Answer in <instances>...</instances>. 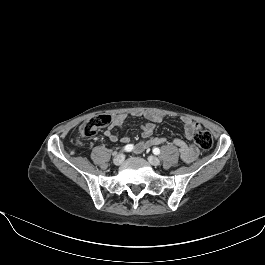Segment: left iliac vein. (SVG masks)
Masks as SVG:
<instances>
[{
  "instance_id": "obj_1",
  "label": "left iliac vein",
  "mask_w": 265,
  "mask_h": 265,
  "mask_svg": "<svg viewBox=\"0 0 265 265\" xmlns=\"http://www.w3.org/2000/svg\"><path fill=\"white\" fill-rule=\"evenodd\" d=\"M148 161L153 166L160 165V160L156 156L153 155L148 156Z\"/></svg>"
}]
</instances>
